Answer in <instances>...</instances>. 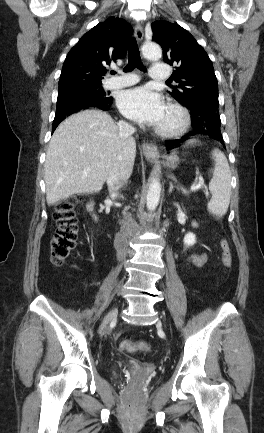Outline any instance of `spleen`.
I'll return each mask as SVG.
<instances>
[{
    "mask_svg": "<svg viewBox=\"0 0 264 433\" xmlns=\"http://www.w3.org/2000/svg\"><path fill=\"white\" fill-rule=\"evenodd\" d=\"M196 139H191L187 144L196 143ZM215 161L213 176L209 183V190L212 198L207 207L208 210L218 217L226 214L231 197V171L226 156L222 151L215 148L212 151Z\"/></svg>",
    "mask_w": 264,
    "mask_h": 433,
    "instance_id": "spleen-1",
    "label": "spleen"
}]
</instances>
